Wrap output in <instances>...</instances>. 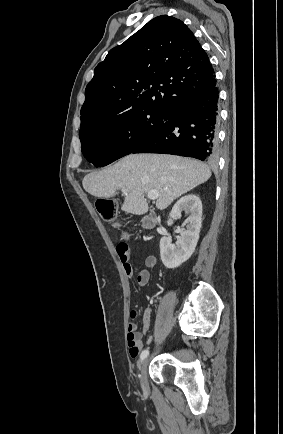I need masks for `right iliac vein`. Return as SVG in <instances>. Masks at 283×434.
I'll return each instance as SVG.
<instances>
[{
	"mask_svg": "<svg viewBox=\"0 0 283 434\" xmlns=\"http://www.w3.org/2000/svg\"><path fill=\"white\" fill-rule=\"evenodd\" d=\"M150 358H146L141 365L140 372V383L143 390H148V380H147V367L149 364Z\"/></svg>",
	"mask_w": 283,
	"mask_h": 434,
	"instance_id": "1",
	"label": "right iliac vein"
}]
</instances>
